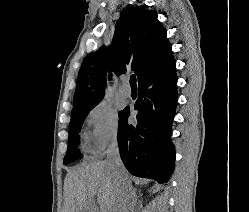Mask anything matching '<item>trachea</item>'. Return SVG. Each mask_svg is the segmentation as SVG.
Instances as JSON below:
<instances>
[{"instance_id": "trachea-1", "label": "trachea", "mask_w": 249, "mask_h": 212, "mask_svg": "<svg viewBox=\"0 0 249 212\" xmlns=\"http://www.w3.org/2000/svg\"><path fill=\"white\" fill-rule=\"evenodd\" d=\"M130 86H131V88H137L135 75H131V77H130Z\"/></svg>"}]
</instances>
